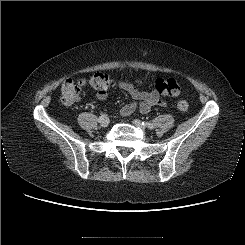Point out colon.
<instances>
[{"label":"colon","instance_id":"5ec220e1","mask_svg":"<svg viewBox=\"0 0 245 245\" xmlns=\"http://www.w3.org/2000/svg\"><path fill=\"white\" fill-rule=\"evenodd\" d=\"M116 84V79L105 73H95L78 82L68 79L61 88V101L65 105L75 103L79 98L82 86L90 87L96 91H107L108 89L115 87ZM154 88L158 93L167 96H177L181 92L179 83L174 79L158 78L154 81ZM177 107L180 111H187L189 104L187 101L181 100L177 103Z\"/></svg>","mask_w":245,"mask_h":245}]
</instances>
